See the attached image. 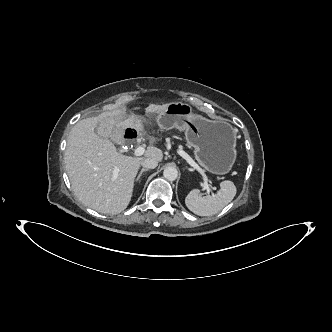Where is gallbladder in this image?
Segmentation results:
<instances>
[{
    "label": "gallbladder",
    "mask_w": 332,
    "mask_h": 332,
    "mask_svg": "<svg viewBox=\"0 0 332 332\" xmlns=\"http://www.w3.org/2000/svg\"><path fill=\"white\" fill-rule=\"evenodd\" d=\"M97 133L99 134V136H101L103 138L108 137V135L104 131H102L100 126L97 128Z\"/></svg>",
    "instance_id": "1"
}]
</instances>
